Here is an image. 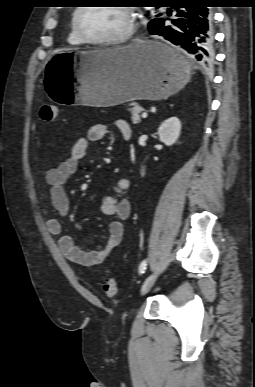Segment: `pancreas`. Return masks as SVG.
Instances as JSON below:
<instances>
[{
    "label": "pancreas",
    "mask_w": 255,
    "mask_h": 387,
    "mask_svg": "<svg viewBox=\"0 0 255 387\" xmlns=\"http://www.w3.org/2000/svg\"><path fill=\"white\" fill-rule=\"evenodd\" d=\"M129 106H131L130 108V112H131V120H132V123L133 124H138L140 123L141 121V118H140V112L142 111V107L137 105V104H130Z\"/></svg>",
    "instance_id": "1"
}]
</instances>
